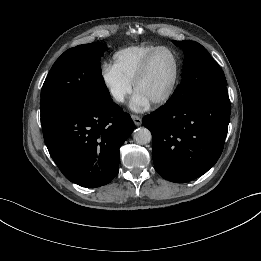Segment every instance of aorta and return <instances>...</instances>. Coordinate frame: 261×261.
I'll list each match as a JSON object with an SVG mask.
<instances>
[{
  "label": "aorta",
  "mask_w": 261,
  "mask_h": 261,
  "mask_svg": "<svg viewBox=\"0 0 261 261\" xmlns=\"http://www.w3.org/2000/svg\"><path fill=\"white\" fill-rule=\"evenodd\" d=\"M133 139L139 145H146L152 139L151 132L145 127L137 128L133 132Z\"/></svg>",
  "instance_id": "aorta-1"
}]
</instances>
